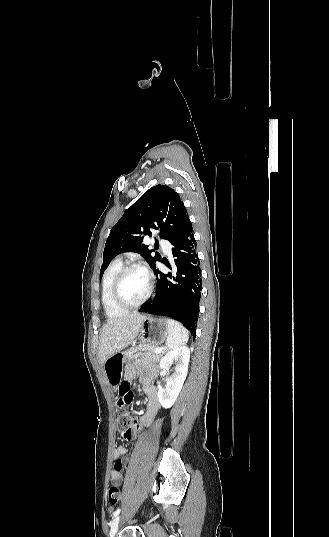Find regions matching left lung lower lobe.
I'll list each match as a JSON object with an SVG mask.
<instances>
[{"instance_id": "0a47b994", "label": "left lung lower lobe", "mask_w": 329, "mask_h": 537, "mask_svg": "<svg viewBox=\"0 0 329 537\" xmlns=\"http://www.w3.org/2000/svg\"><path fill=\"white\" fill-rule=\"evenodd\" d=\"M174 272L164 274L154 269L156 292L143 304L145 313L166 315L181 322L195 337L201 296L199 259L191 222L172 243ZM167 267L171 269L169 264Z\"/></svg>"}]
</instances>
